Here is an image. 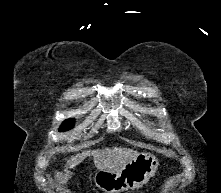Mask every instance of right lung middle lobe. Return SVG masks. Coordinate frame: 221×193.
I'll return each instance as SVG.
<instances>
[{
  "mask_svg": "<svg viewBox=\"0 0 221 193\" xmlns=\"http://www.w3.org/2000/svg\"><path fill=\"white\" fill-rule=\"evenodd\" d=\"M74 123L72 119L65 120L60 127V131H66L73 127Z\"/></svg>",
  "mask_w": 221,
  "mask_h": 193,
  "instance_id": "1",
  "label": "right lung middle lobe"
}]
</instances>
